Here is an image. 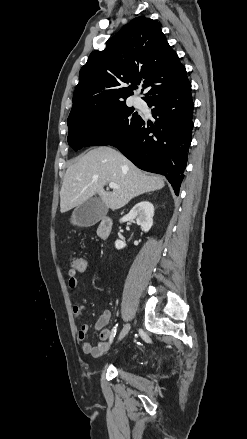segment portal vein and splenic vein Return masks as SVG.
<instances>
[{
	"label": "portal vein and splenic vein",
	"instance_id": "portal-vein-and-splenic-vein-1",
	"mask_svg": "<svg viewBox=\"0 0 247 439\" xmlns=\"http://www.w3.org/2000/svg\"><path fill=\"white\" fill-rule=\"evenodd\" d=\"M109 187H110L111 189H118V188H120L117 184H115V183H113V182L109 183Z\"/></svg>",
	"mask_w": 247,
	"mask_h": 439
}]
</instances>
